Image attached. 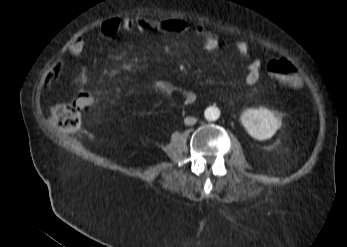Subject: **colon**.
Listing matches in <instances>:
<instances>
[{
  "instance_id": "colon-1",
  "label": "colon",
  "mask_w": 347,
  "mask_h": 247,
  "mask_svg": "<svg viewBox=\"0 0 347 247\" xmlns=\"http://www.w3.org/2000/svg\"><path fill=\"white\" fill-rule=\"evenodd\" d=\"M268 71L277 83L285 87H295L299 84V75L294 64L288 59L272 60L268 64ZM97 98L89 90H82L75 96V100L62 103L51 111V119L63 131L78 128L82 113H89L95 109Z\"/></svg>"
}]
</instances>
